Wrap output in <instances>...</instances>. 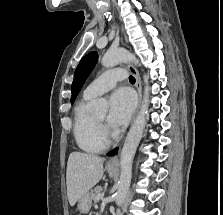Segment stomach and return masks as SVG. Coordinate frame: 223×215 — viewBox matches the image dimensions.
Instances as JSON below:
<instances>
[{"label": "stomach", "instance_id": "1", "mask_svg": "<svg viewBox=\"0 0 223 215\" xmlns=\"http://www.w3.org/2000/svg\"><path fill=\"white\" fill-rule=\"evenodd\" d=\"M105 169H107L109 175H114L115 171H117L116 167H109V165H106ZM89 195L88 193H84L78 199V207L82 213H87L92 205V202L89 201Z\"/></svg>", "mask_w": 223, "mask_h": 215}]
</instances>
